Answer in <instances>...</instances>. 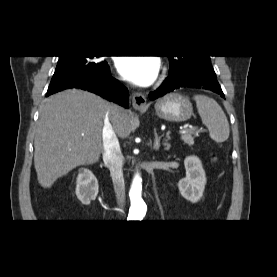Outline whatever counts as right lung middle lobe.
Listing matches in <instances>:
<instances>
[{"instance_id":"obj_1","label":"right lung middle lobe","mask_w":277,"mask_h":277,"mask_svg":"<svg viewBox=\"0 0 277 277\" xmlns=\"http://www.w3.org/2000/svg\"><path fill=\"white\" fill-rule=\"evenodd\" d=\"M100 56H59L48 90L58 89L77 81L95 80L108 68Z\"/></svg>"}]
</instances>
